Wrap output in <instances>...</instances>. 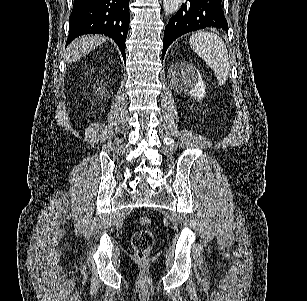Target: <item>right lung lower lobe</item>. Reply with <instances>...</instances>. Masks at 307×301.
Masks as SVG:
<instances>
[{"label":"right lung lower lobe","instance_id":"obj_1","mask_svg":"<svg viewBox=\"0 0 307 301\" xmlns=\"http://www.w3.org/2000/svg\"><path fill=\"white\" fill-rule=\"evenodd\" d=\"M129 21V0H74L66 46L84 34H104L116 42L126 60Z\"/></svg>","mask_w":307,"mask_h":301}]
</instances>
